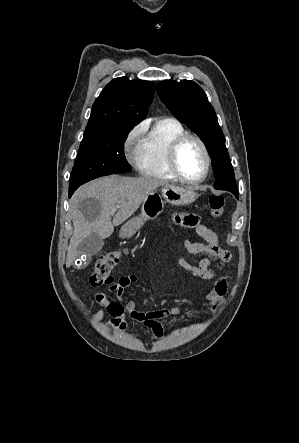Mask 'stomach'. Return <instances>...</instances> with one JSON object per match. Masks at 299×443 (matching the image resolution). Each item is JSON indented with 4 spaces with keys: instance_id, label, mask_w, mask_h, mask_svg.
Returning a JSON list of instances; mask_svg holds the SVG:
<instances>
[{
    "instance_id": "1",
    "label": "stomach",
    "mask_w": 299,
    "mask_h": 443,
    "mask_svg": "<svg viewBox=\"0 0 299 443\" xmlns=\"http://www.w3.org/2000/svg\"><path fill=\"white\" fill-rule=\"evenodd\" d=\"M196 199L197 194L194 190L167 184L162 187L161 194L154 191L144 200L141 213L121 228L120 237L130 238L145 222L156 219L162 213L165 203L185 206L193 203Z\"/></svg>"
}]
</instances>
